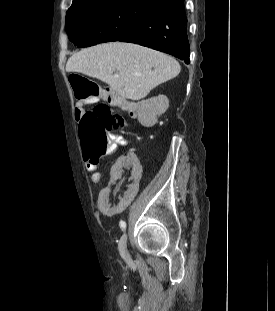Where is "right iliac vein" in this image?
Here are the masks:
<instances>
[{
	"instance_id": "right-iliac-vein-1",
	"label": "right iliac vein",
	"mask_w": 275,
	"mask_h": 311,
	"mask_svg": "<svg viewBox=\"0 0 275 311\" xmlns=\"http://www.w3.org/2000/svg\"><path fill=\"white\" fill-rule=\"evenodd\" d=\"M118 248H119L121 256L124 259H128L129 253L127 250V233H124V235L121 237L119 244H118Z\"/></svg>"
}]
</instances>
